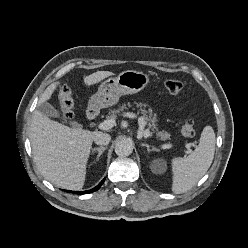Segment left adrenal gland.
Masks as SVG:
<instances>
[{
  "instance_id": "obj_1",
  "label": "left adrenal gland",
  "mask_w": 248,
  "mask_h": 248,
  "mask_svg": "<svg viewBox=\"0 0 248 248\" xmlns=\"http://www.w3.org/2000/svg\"><path fill=\"white\" fill-rule=\"evenodd\" d=\"M142 146L146 147L148 152L158 151V149L156 147L150 148V146L148 144H145V143H142Z\"/></svg>"
}]
</instances>
